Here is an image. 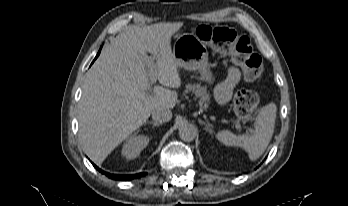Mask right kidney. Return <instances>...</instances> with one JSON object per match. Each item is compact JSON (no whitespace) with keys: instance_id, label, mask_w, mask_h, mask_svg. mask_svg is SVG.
<instances>
[{"instance_id":"obj_1","label":"right kidney","mask_w":348,"mask_h":206,"mask_svg":"<svg viewBox=\"0 0 348 206\" xmlns=\"http://www.w3.org/2000/svg\"><path fill=\"white\" fill-rule=\"evenodd\" d=\"M149 138L144 135L132 136L123 144L122 155L128 159L132 160L137 158L141 151L147 146Z\"/></svg>"}]
</instances>
